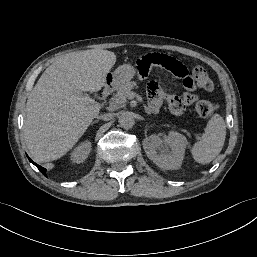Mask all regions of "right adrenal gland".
Returning <instances> with one entry per match:
<instances>
[{
    "instance_id": "1",
    "label": "right adrenal gland",
    "mask_w": 257,
    "mask_h": 257,
    "mask_svg": "<svg viewBox=\"0 0 257 257\" xmlns=\"http://www.w3.org/2000/svg\"><path fill=\"white\" fill-rule=\"evenodd\" d=\"M97 122H98V120H94L91 122V125H93L94 123H97Z\"/></svg>"
}]
</instances>
